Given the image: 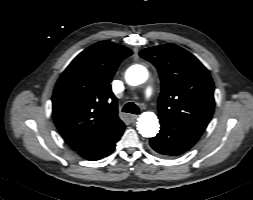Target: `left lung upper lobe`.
I'll return each instance as SVG.
<instances>
[{
  "instance_id": "1",
  "label": "left lung upper lobe",
  "mask_w": 253,
  "mask_h": 200,
  "mask_svg": "<svg viewBox=\"0 0 253 200\" xmlns=\"http://www.w3.org/2000/svg\"><path fill=\"white\" fill-rule=\"evenodd\" d=\"M139 54L158 69L162 84L159 114L205 129L214 111V84L204 65L172 43Z\"/></svg>"
}]
</instances>
